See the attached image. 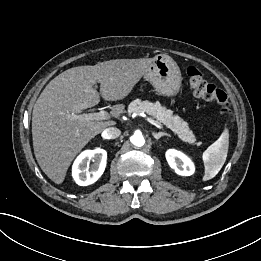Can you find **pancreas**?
I'll list each match as a JSON object with an SVG mask.
<instances>
[{"mask_svg": "<svg viewBox=\"0 0 261 261\" xmlns=\"http://www.w3.org/2000/svg\"><path fill=\"white\" fill-rule=\"evenodd\" d=\"M128 112L131 113H147L155 118L159 123L170 128L178 137L189 144L200 146L202 142H196V137L188 127V124L179 116L173 115V112L160 103H151L149 101H141L136 99L128 106Z\"/></svg>", "mask_w": 261, "mask_h": 261, "instance_id": "cf45deb5", "label": "pancreas"}]
</instances>
